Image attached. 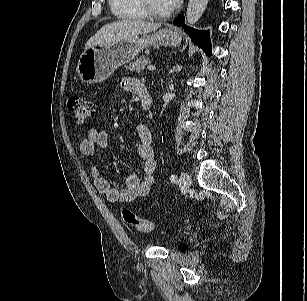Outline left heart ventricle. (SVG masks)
I'll return each instance as SVG.
<instances>
[{
  "label": "left heart ventricle",
  "mask_w": 307,
  "mask_h": 301,
  "mask_svg": "<svg viewBox=\"0 0 307 301\" xmlns=\"http://www.w3.org/2000/svg\"><path fill=\"white\" fill-rule=\"evenodd\" d=\"M153 9L158 12H167L170 10L165 0H148Z\"/></svg>",
  "instance_id": "left-heart-ventricle-1"
}]
</instances>
